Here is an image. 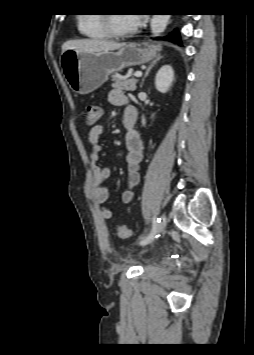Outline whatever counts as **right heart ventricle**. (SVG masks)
<instances>
[{"mask_svg":"<svg viewBox=\"0 0 254 355\" xmlns=\"http://www.w3.org/2000/svg\"><path fill=\"white\" fill-rule=\"evenodd\" d=\"M77 23L79 32L90 39H104L108 37L103 28L102 13L80 15Z\"/></svg>","mask_w":254,"mask_h":355,"instance_id":"e07e8e85","label":"right heart ventricle"}]
</instances>
